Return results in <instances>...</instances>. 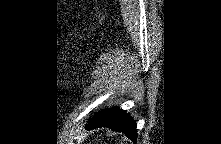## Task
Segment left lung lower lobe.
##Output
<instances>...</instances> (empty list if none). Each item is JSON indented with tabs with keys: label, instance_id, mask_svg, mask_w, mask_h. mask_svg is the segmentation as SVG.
I'll list each match as a JSON object with an SVG mask.
<instances>
[{
	"label": "left lung lower lobe",
	"instance_id": "1",
	"mask_svg": "<svg viewBox=\"0 0 221 144\" xmlns=\"http://www.w3.org/2000/svg\"><path fill=\"white\" fill-rule=\"evenodd\" d=\"M110 127L112 130L123 132L136 143L137 129L135 121L120 108L101 111L88 123L87 128Z\"/></svg>",
	"mask_w": 221,
	"mask_h": 144
}]
</instances>
